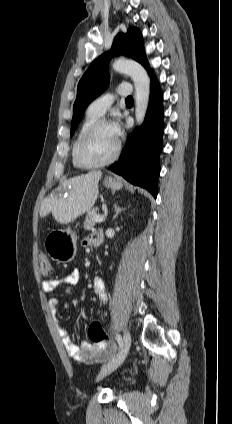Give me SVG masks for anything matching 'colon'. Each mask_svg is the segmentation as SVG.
I'll return each mask as SVG.
<instances>
[{
    "label": "colon",
    "instance_id": "obj_1",
    "mask_svg": "<svg viewBox=\"0 0 232 424\" xmlns=\"http://www.w3.org/2000/svg\"><path fill=\"white\" fill-rule=\"evenodd\" d=\"M40 270L42 275L50 276L53 273V265L44 252L39 253ZM88 337L93 344L109 343V337L98 320H93L88 327Z\"/></svg>",
    "mask_w": 232,
    "mask_h": 424
}]
</instances>
